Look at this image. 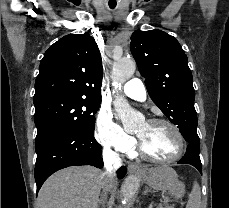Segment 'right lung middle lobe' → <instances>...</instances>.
Wrapping results in <instances>:
<instances>
[{
  "mask_svg": "<svg viewBox=\"0 0 229 208\" xmlns=\"http://www.w3.org/2000/svg\"><path fill=\"white\" fill-rule=\"evenodd\" d=\"M34 104V121L37 127L35 143L63 128L94 133V115L100 101L69 95H51L35 100Z\"/></svg>",
  "mask_w": 229,
  "mask_h": 208,
  "instance_id": "obj_1",
  "label": "right lung middle lobe"
}]
</instances>
